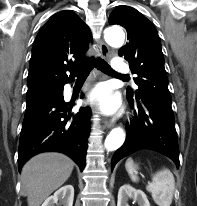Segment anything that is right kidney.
Instances as JSON below:
<instances>
[{
	"label": "right kidney",
	"instance_id": "ca27d5eb",
	"mask_svg": "<svg viewBox=\"0 0 197 206\" xmlns=\"http://www.w3.org/2000/svg\"><path fill=\"white\" fill-rule=\"evenodd\" d=\"M74 199V187L72 185H65L57 190L54 195L45 200L42 206H55L58 202L64 206H72Z\"/></svg>",
	"mask_w": 197,
	"mask_h": 206
}]
</instances>
